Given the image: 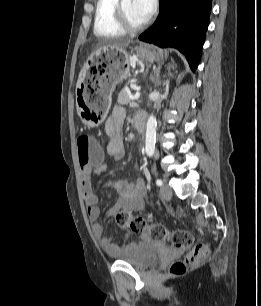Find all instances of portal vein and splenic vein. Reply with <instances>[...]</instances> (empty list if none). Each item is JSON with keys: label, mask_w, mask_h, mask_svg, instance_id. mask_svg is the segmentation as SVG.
Listing matches in <instances>:
<instances>
[{"label": "portal vein and splenic vein", "mask_w": 261, "mask_h": 306, "mask_svg": "<svg viewBox=\"0 0 261 306\" xmlns=\"http://www.w3.org/2000/svg\"><path fill=\"white\" fill-rule=\"evenodd\" d=\"M139 90H140V87H138V89H137L135 95L130 96L131 100H135V99L139 98V96H140ZM130 105H131V106H135V103H134V102H131Z\"/></svg>", "instance_id": "1"}]
</instances>
